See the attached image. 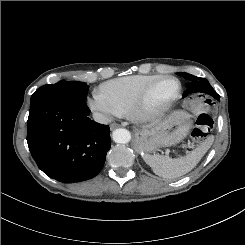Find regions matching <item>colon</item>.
Masks as SVG:
<instances>
[{"label":"colon","instance_id":"5ec220e1","mask_svg":"<svg viewBox=\"0 0 245 245\" xmlns=\"http://www.w3.org/2000/svg\"><path fill=\"white\" fill-rule=\"evenodd\" d=\"M213 128V119L208 114H198L196 125L190 133L191 140L195 146H198L204 138L208 136Z\"/></svg>","mask_w":245,"mask_h":245}]
</instances>
